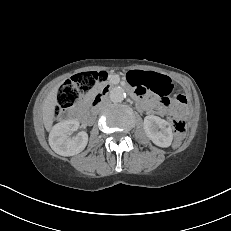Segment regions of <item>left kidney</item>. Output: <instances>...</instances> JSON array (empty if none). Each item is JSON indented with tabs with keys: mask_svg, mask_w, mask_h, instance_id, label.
Returning a JSON list of instances; mask_svg holds the SVG:
<instances>
[{
	"mask_svg": "<svg viewBox=\"0 0 231 231\" xmlns=\"http://www.w3.org/2000/svg\"><path fill=\"white\" fill-rule=\"evenodd\" d=\"M144 131L147 137L159 147H169L173 140L170 124L158 116L148 115L144 118Z\"/></svg>",
	"mask_w": 231,
	"mask_h": 231,
	"instance_id": "1",
	"label": "left kidney"
}]
</instances>
